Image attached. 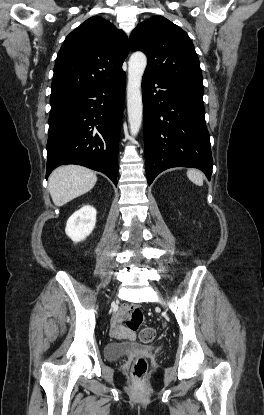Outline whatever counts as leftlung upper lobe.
I'll use <instances>...</instances> for the list:
<instances>
[{
    "label": "left lung upper lobe",
    "instance_id": "5c2ea615",
    "mask_svg": "<svg viewBox=\"0 0 264 415\" xmlns=\"http://www.w3.org/2000/svg\"><path fill=\"white\" fill-rule=\"evenodd\" d=\"M132 51L148 58L145 73L172 81L203 86L199 59L187 33L164 18L153 16L138 24L130 36Z\"/></svg>",
    "mask_w": 264,
    "mask_h": 415
}]
</instances>
